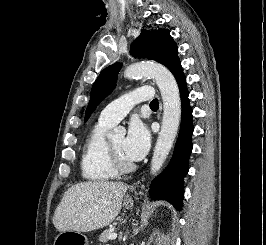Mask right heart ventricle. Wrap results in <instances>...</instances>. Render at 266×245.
I'll return each instance as SVG.
<instances>
[{
	"label": "right heart ventricle",
	"mask_w": 266,
	"mask_h": 245,
	"mask_svg": "<svg viewBox=\"0 0 266 245\" xmlns=\"http://www.w3.org/2000/svg\"><path fill=\"white\" fill-rule=\"evenodd\" d=\"M112 124L97 120L89 130L81 156V175L92 184H105L117 178L106 157V132Z\"/></svg>",
	"instance_id": "obj_1"
}]
</instances>
